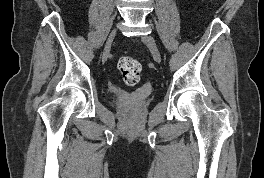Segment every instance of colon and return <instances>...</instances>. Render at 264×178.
<instances>
[{
	"label": "colon",
	"mask_w": 264,
	"mask_h": 178,
	"mask_svg": "<svg viewBox=\"0 0 264 178\" xmlns=\"http://www.w3.org/2000/svg\"><path fill=\"white\" fill-rule=\"evenodd\" d=\"M118 72L123 81L130 86L138 83L142 71L141 64L133 57H123L117 66Z\"/></svg>",
	"instance_id": "obj_1"
}]
</instances>
